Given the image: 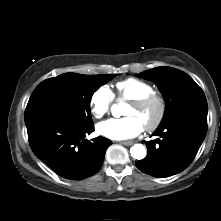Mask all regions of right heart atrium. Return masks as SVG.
Wrapping results in <instances>:
<instances>
[{
    "label": "right heart atrium",
    "mask_w": 221,
    "mask_h": 221,
    "mask_svg": "<svg viewBox=\"0 0 221 221\" xmlns=\"http://www.w3.org/2000/svg\"><path fill=\"white\" fill-rule=\"evenodd\" d=\"M114 95L108 85L98 87L90 99L91 113L95 118H101L108 113Z\"/></svg>",
    "instance_id": "obj_1"
}]
</instances>
